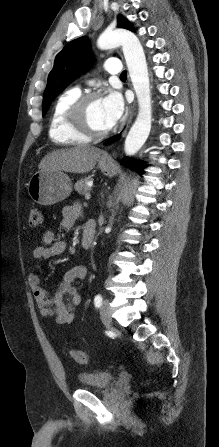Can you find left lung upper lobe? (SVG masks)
I'll return each instance as SVG.
<instances>
[{
  "label": "left lung upper lobe",
  "mask_w": 219,
  "mask_h": 447,
  "mask_svg": "<svg viewBox=\"0 0 219 447\" xmlns=\"http://www.w3.org/2000/svg\"><path fill=\"white\" fill-rule=\"evenodd\" d=\"M118 27L134 30L132 24L122 16H118ZM89 47V40L86 37H80L69 42L57 54L43 95V116L55 97L90 65L92 57Z\"/></svg>",
  "instance_id": "1"
}]
</instances>
